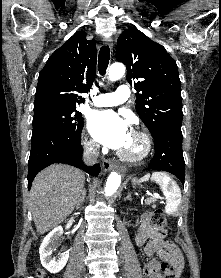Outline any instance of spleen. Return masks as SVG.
Masks as SVG:
<instances>
[{"mask_svg":"<svg viewBox=\"0 0 221 278\" xmlns=\"http://www.w3.org/2000/svg\"><path fill=\"white\" fill-rule=\"evenodd\" d=\"M149 179L159 184L166 198L165 212L168 215L176 216L182 201L181 191L177 183L164 172H154L152 175L146 174L140 179V182L148 181Z\"/></svg>","mask_w":221,"mask_h":278,"instance_id":"3e777b00","label":"spleen"}]
</instances>
